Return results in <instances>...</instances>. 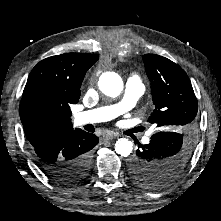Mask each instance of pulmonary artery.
<instances>
[{
  "label": "pulmonary artery",
  "instance_id": "1",
  "mask_svg": "<svg viewBox=\"0 0 221 221\" xmlns=\"http://www.w3.org/2000/svg\"><path fill=\"white\" fill-rule=\"evenodd\" d=\"M144 90V85L138 77H130L126 82L125 92L121 101L114 105L78 112L74 115V122L76 125H84L112 120L133 108L143 95Z\"/></svg>",
  "mask_w": 221,
  "mask_h": 221
}]
</instances>
